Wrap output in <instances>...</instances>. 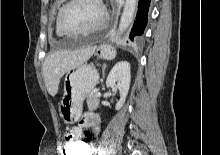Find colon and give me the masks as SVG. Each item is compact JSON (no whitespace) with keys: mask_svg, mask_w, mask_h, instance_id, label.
Here are the masks:
<instances>
[{"mask_svg":"<svg viewBox=\"0 0 220 155\" xmlns=\"http://www.w3.org/2000/svg\"><path fill=\"white\" fill-rule=\"evenodd\" d=\"M90 142L87 139H74L64 142L62 147L64 155H87L90 150Z\"/></svg>","mask_w":220,"mask_h":155,"instance_id":"1","label":"colon"}]
</instances>
